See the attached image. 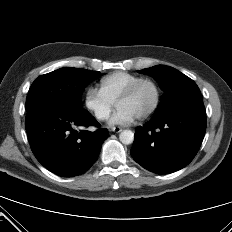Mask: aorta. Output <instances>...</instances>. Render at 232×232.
Masks as SVG:
<instances>
[{
    "instance_id": "aorta-1",
    "label": "aorta",
    "mask_w": 232,
    "mask_h": 232,
    "mask_svg": "<svg viewBox=\"0 0 232 232\" xmlns=\"http://www.w3.org/2000/svg\"><path fill=\"white\" fill-rule=\"evenodd\" d=\"M119 139L123 144L129 145L134 141V133L131 130H123L119 134Z\"/></svg>"
}]
</instances>
